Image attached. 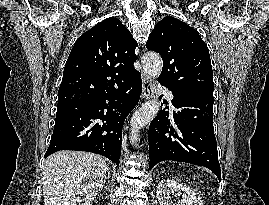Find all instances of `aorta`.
<instances>
[{
  "label": "aorta",
  "instance_id": "obj_1",
  "mask_svg": "<svg viewBox=\"0 0 269 205\" xmlns=\"http://www.w3.org/2000/svg\"><path fill=\"white\" fill-rule=\"evenodd\" d=\"M142 67L146 74L153 78L160 76L162 72L161 57L154 52H148L142 57ZM160 110V103L157 99L144 103L133 115L130 122L129 140L132 145L139 141V130L150 123Z\"/></svg>",
  "mask_w": 269,
  "mask_h": 205
}]
</instances>
